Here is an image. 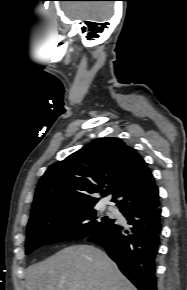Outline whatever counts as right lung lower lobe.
Wrapping results in <instances>:
<instances>
[{
  "mask_svg": "<svg viewBox=\"0 0 187 290\" xmlns=\"http://www.w3.org/2000/svg\"><path fill=\"white\" fill-rule=\"evenodd\" d=\"M122 212L131 225L129 230L113 223L89 236L88 241L104 247L139 290H157L156 257L162 230L160 204Z\"/></svg>",
  "mask_w": 187,
  "mask_h": 290,
  "instance_id": "right-lung-lower-lobe-1",
  "label": "right lung lower lobe"
}]
</instances>
